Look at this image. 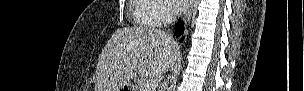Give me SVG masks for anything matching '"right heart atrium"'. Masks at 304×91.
<instances>
[{
  "label": "right heart atrium",
  "mask_w": 304,
  "mask_h": 91,
  "mask_svg": "<svg viewBox=\"0 0 304 91\" xmlns=\"http://www.w3.org/2000/svg\"><path fill=\"white\" fill-rule=\"evenodd\" d=\"M154 6L155 9L151 16V20L155 24H162L169 21L172 16L173 12L170 6L167 4L166 1L163 0H149Z\"/></svg>",
  "instance_id": "obj_1"
}]
</instances>
